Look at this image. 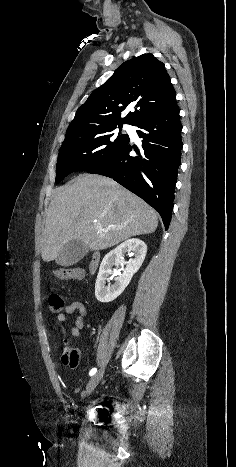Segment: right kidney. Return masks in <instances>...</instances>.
Here are the masks:
<instances>
[{
    "mask_svg": "<svg viewBox=\"0 0 236 467\" xmlns=\"http://www.w3.org/2000/svg\"><path fill=\"white\" fill-rule=\"evenodd\" d=\"M147 252L146 244L137 238L126 240L114 250L107 253L99 268L95 283V296L98 301L108 303L116 299L128 286L133 275L141 267ZM128 253L133 258L128 262L124 261V255ZM125 265L124 272L113 270V266ZM111 275L115 276L114 284L109 282Z\"/></svg>",
    "mask_w": 236,
    "mask_h": 467,
    "instance_id": "1",
    "label": "right kidney"
}]
</instances>
